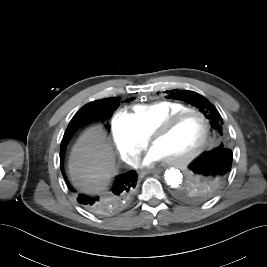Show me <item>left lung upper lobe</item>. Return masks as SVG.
<instances>
[{
    "instance_id": "1",
    "label": "left lung upper lobe",
    "mask_w": 267,
    "mask_h": 267,
    "mask_svg": "<svg viewBox=\"0 0 267 267\" xmlns=\"http://www.w3.org/2000/svg\"><path fill=\"white\" fill-rule=\"evenodd\" d=\"M169 95L166 97L167 99H175V100H182L184 102H187L201 111L206 118L209 120L211 128L215 135L219 138L224 137V132L222 129V118L217 109L213 104H211L204 96L192 92V91H167Z\"/></svg>"
}]
</instances>
